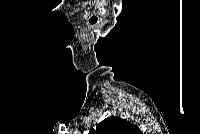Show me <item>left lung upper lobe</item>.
<instances>
[{
	"instance_id": "obj_1",
	"label": "left lung upper lobe",
	"mask_w": 200,
	"mask_h": 134,
	"mask_svg": "<svg viewBox=\"0 0 200 134\" xmlns=\"http://www.w3.org/2000/svg\"><path fill=\"white\" fill-rule=\"evenodd\" d=\"M89 134H141V131L130 122L112 116L98 123L96 128L92 129Z\"/></svg>"
}]
</instances>
